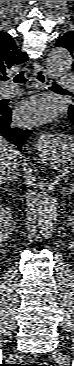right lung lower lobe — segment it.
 Returning <instances> with one entry per match:
<instances>
[{
	"label": "right lung lower lobe",
	"mask_w": 74,
	"mask_h": 366,
	"mask_svg": "<svg viewBox=\"0 0 74 366\" xmlns=\"http://www.w3.org/2000/svg\"><path fill=\"white\" fill-rule=\"evenodd\" d=\"M31 134L30 130H22L11 124V111L5 105L0 104V136L14 142L20 151H22L23 143Z\"/></svg>",
	"instance_id": "1"
}]
</instances>
